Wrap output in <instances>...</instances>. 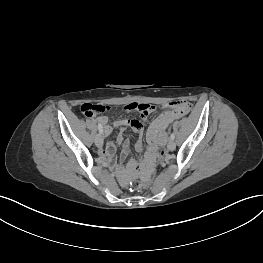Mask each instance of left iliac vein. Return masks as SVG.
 I'll use <instances>...</instances> for the list:
<instances>
[{"label": "left iliac vein", "mask_w": 263, "mask_h": 263, "mask_svg": "<svg viewBox=\"0 0 263 263\" xmlns=\"http://www.w3.org/2000/svg\"><path fill=\"white\" fill-rule=\"evenodd\" d=\"M176 145L175 142L173 140H169L168 144H167V148L170 151H173L175 149Z\"/></svg>", "instance_id": "1"}]
</instances>
